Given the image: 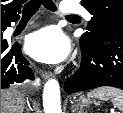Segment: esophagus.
Returning a JSON list of instances; mask_svg holds the SVG:
<instances>
[{"label": "esophagus", "mask_w": 123, "mask_h": 113, "mask_svg": "<svg viewBox=\"0 0 123 113\" xmlns=\"http://www.w3.org/2000/svg\"><path fill=\"white\" fill-rule=\"evenodd\" d=\"M41 76H42V78H43L44 80H47V79H49L50 77H52V73H51V72H43Z\"/></svg>", "instance_id": "esophagus-1"}]
</instances>
